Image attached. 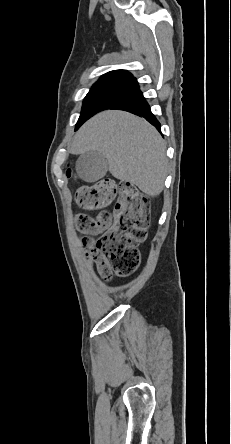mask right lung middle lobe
Returning <instances> with one entry per match:
<instances>
[{
    "label": "right lung middle lobe",
    "mask_w": 231,
    "mask_h": 444,
    "mask_svg": "<svg viewBox=\"0 0 231 444\" xmlns=\"http://www.w3.org/2000/svg\"><path fill=\"white\" fill-rule=\"evenodd\" d=\"M127 94L124 89L114 86L92 88L84 99L81 115L76 124V130L94 114L108 109Z\"/></svg>",
    "instance_id": "1"
}]
</instances>
